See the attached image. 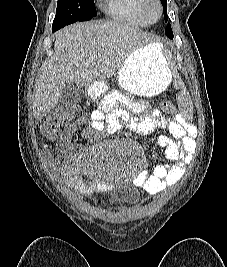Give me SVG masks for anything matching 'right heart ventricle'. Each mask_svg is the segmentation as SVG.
Returning a JSON list of instances; mask_svg holds the SVG:
<instances>
[{
	"mask_svg": "<svg viewBox=\"0 0 227 267\" xmlns=\"http://www.w3.org/2000/svg\"><path fill=\"white\" fill-rule=\"evenodd\" d=\"M143 0H102L103 11L113 20L146 26L150 22L142 10Z\"/></svg>",
	"mask_w": 227,
	"mask_h": 267,
	"instance_id": "obj_1",
	"label": "right heart ventricle"
}]
</instances>
